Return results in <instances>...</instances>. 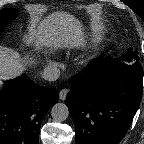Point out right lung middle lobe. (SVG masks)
I'll use <instances>...</instances> for the list:
<instances>
[{
  "label": "right lung middle lobe",
  "mask_w": 144,
  "mask_h": 144,
  "mask_svg": "<svg viewBox=\"0 0 144 144\" xmlns=\"http://www.w3.org/2000/svg\"><path fill=\"white\" fill-rule=\"evenodd\" d=\"M17 16V11L13 8L3 9L0 11V35L4 25Z\"/></svg>",
  "instance_id": "obj_1"
}]
</instances>
